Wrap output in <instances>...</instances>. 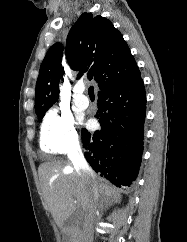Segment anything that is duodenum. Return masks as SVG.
Here are the masks:
<instances>
[{
  "label": "duodenum",
  "mask_w": 187,
  "mask_h": 242,
  "mask_svg": "<svg viewBox=\"0 0 187 242\" xmlns=\"http://www.w3.org/2000/svg\"><path fill=\"white\" fill-rule=\"evenodd\" d=\"M63 231H64V232H67V231H70V229L67 228V227H64V228H63Z\"/></svg>",
  "instance_id": "410a0bca"
}]
</instances>
